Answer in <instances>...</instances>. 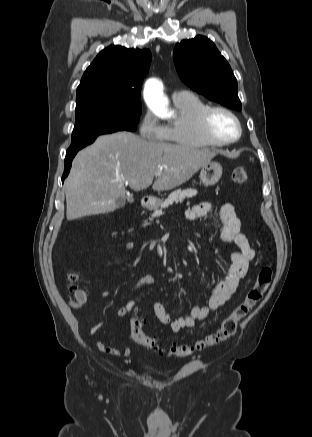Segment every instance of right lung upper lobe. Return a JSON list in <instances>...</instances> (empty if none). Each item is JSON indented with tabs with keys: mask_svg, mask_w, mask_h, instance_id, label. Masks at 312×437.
Wrapping results in <instances>:
<instances>
[{
	"mask_svg": "<svg viewBox=\"0 0 312 437\" xmlns=\"http://www.w3.org/2000/svg\"><path fill=\"white\" fill-rule=\"evenodd\" d=\"M150 62L148 49L111 45L102 50L82 76L77 88L76 107L141 104L140 90Z\"/></svg>",
	"mask_w": 312,
	"mask_h": 437,
	"instance_id": "right-lung-upper-lobe-1",
	"label": "right lung upper lobe"
}]
</instances>
